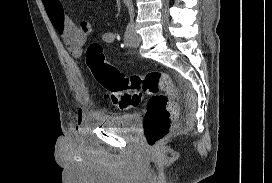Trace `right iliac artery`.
I'll return each instance as SVG.
<instances>
[{
	"label": "right iliac artery",
	"mask_w": 272,
	"mask_h": 183,
	"mask_svg": "<svg viewBox=\"0 0 272 183\" xmlns=\"http://www.w3.org/2000/svg\"><path fill=\"white\" fill-rule=\"evenodd\" d=\"M133 38V26L128 25L124 34V44L126 47H131Z\"/></svg>",
	"instance_id": "right-iliac-artery-1"
}]
</instances>
